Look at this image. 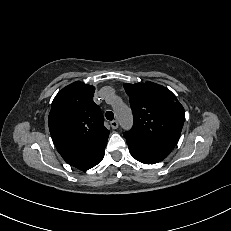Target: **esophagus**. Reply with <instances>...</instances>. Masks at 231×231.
I'll return each mask as SVG.
<instances>
[{
    "instance_id": "1",
    "label": "esophagus",
    "mask_w": 231,
    "mask_h": 231,
    "mask_svg": "<svg viewBox=\"0 0 231 231\" xmlns=\"http://www.w3.org/2000/svg\"><path fill=\"white\" fill-rule=\"evenodd\" d=\"M110 125H111L112 129H117L119 126L118 121H116V120L111 121Z\"/></svg>"
}]
</instances>
